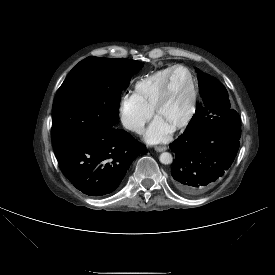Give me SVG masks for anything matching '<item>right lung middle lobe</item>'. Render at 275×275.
<instances>
[{"instance_id":"1","label":"right lung middle lobe","mask_w":275,"mask_h":275,"mask_svg":"<svg viewBox=\"0 0 275 275\" xmlns=\"http://www.w3.org/2000/svg\"><path fill=\"white\" fill-rule=\"evenodd\" d=\"M142 66L135 60L94 56L79 62L55 96L53 146L68 138L113 128L121 92Z\"/></svg>"}]
</instances>
